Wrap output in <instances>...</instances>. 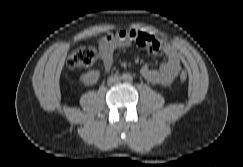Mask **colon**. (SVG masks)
I'll list each match as a JSON object with an SVG mask.
<instances>
[{
	"instance_id": "1",
	"label": "colon",
	"mask_w": 243,
	"mask_h": 167,
	"mask_svg": "<svg viewBox=\"0 0 243 167\" xmlns=\"http://www.w3.org/2000/svg\"><path fill=\"white\" fill-rule=\"evenodd\" d=\"M122 38L120 32H111L107 34L102 44H112L117 42ZM97 59L96 50L93 47L84 46L75 50L68 58L67 65L72 70H82L91 66ZM188 75L186 72H181L179 75V80L181 82H186Z\"/></svg>"
}]
</instances>
